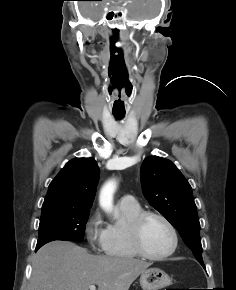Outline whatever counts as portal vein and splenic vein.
<instances>
[{
    "label": "portal vein and splenic vein",
    "mask_w": 236,
    "mask_h": 290,
    "mask_svg": "<svg viewBox=\"0 0 236 290\" xmlns=\"http://www.w3.org/2000/svg\"><path fill=\"white\" fill-rule=\"evenodd\" d=\"M89 289L90 290H96V286L95 285H91V286H89Z\"/></svg>",
    "instance_id": "obj_1"
}]
</instances>
